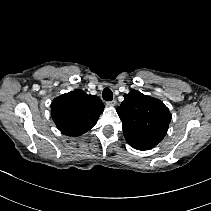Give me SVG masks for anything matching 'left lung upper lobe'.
<instances>
[{
  "label": "left lung upper lobe",
  "mask_w": 211,
  "mask_h": 211,
  "mask_svg": "<svg viewBox=\"0 0 211 211\" xmlns=\"http://www.w3.org/2000/svg\"><path fill=\"white\" fill-rule=\"evenodd\" d=\"M116 111L128 144L138 150L154 148L166 135L171 114L156 98L132 90Z\"/></svg>",
  "instance_id": "obj_1"
}]
</instances>
